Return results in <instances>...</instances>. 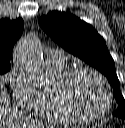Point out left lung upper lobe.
I'll use <instances>...</instances> for the list:
<instances>
[{
    "label": "left lung upper lobe",
    "mask_w": 125,
    "mask_h": 128,
    "mask_svg": "<svg viewBox=\"0 0 125 128\" xmlns=\"http://www.w3.org/2000/svg\"><path fill=\"white\" fill-rule=\"evenodd\" d=\"M39 24L58 45L107 77L113 87L114 97L120 105L114 115L125 119V100L120 92L114 60L103 37L90 24L71 13L50 12L39 19Z\"/></svg>",
    "instance_id": "obj_1"
}]
</instances>
